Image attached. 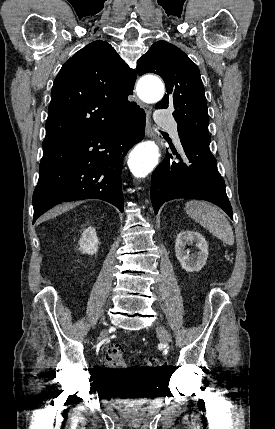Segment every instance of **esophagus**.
<instances>
[{"label":"esophagus","instance_id":"1","mask_svg":"<svg viewBox=\"0 0 275 429\" xmlns=\"http://www.w3.org/2000/svg\"><path fill=\"white\" fill-rule=\"evenodd\" d=\"M141 106L143 107L146 113V128H145L146 136L152 138L155 136V129L151 122V107L144 104H142Z\"/></svg>","mask_w":275,"mask_h":429}]
</instances>
